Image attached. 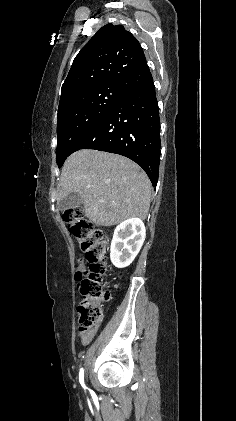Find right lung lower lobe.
Masks as SVG:
<instances>
[{
	"label": "right lung lower lobe",
	"instance_id": "right-lung-lower-lobe-1",
	"mask_svg": "<svg viewBox=\"0 0 236 421\" xmlns=\"http://www.w3.org/2000/svg\"><path fill=\"white\" fill-rule=\"evenodd\" d=\"M123 97L80 140L73 152L96 149L120 154L139 164L152 185L158 181L160 117L149 67L125 76L119 84Z\"/></svg>",
	"mask_w": 236,
	"mask_h": 421
}]
</instances>
